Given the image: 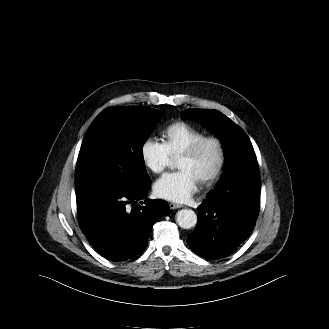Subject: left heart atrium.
<instances>
[{"instance_id": "1", "label": "left heart atrium", "mask_w": 329, "mask_h": 329, "mask_svg": "<svg viewBox=\"0 0 329 329\" xmlns=\"http://www.w3.org/2000/svg\"><path fill=\"white\" fill-rule=\"evenodd\" d=\"M198 187V179L187 169L162 176L154 184L156 195L162 199L182 203L194 194Z\"/></svg>"}]
</instances>
